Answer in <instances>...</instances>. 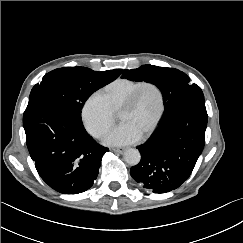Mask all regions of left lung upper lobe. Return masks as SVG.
<instances>
[{"instance_id": "obj_1", "label": "left lung upper lobe", "mask_w": 243, "mask_h": 243, "mask_svg": "<svg viewBox=\"0 0 243 243\" xmlns=\"http://www.w3.org/2000/svg\"><path fill=\"white\" fill-rule=\"evenodd\" d=\"M123 77L133 81L150 82L160 89L165 108L160 123L185 103L204 98L201 88L190 84V78L174 68L143 65L137 69H125Z\"/></svg>"}]
</instances>
